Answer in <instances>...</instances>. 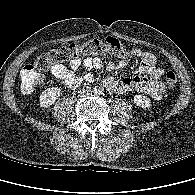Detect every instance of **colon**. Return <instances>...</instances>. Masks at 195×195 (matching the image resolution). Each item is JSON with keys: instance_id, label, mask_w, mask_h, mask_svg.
<instances>
[{"instance_id": "obj_1", "label": "colon", "mask_w": 195, "mask_h": 195, "mask_svg": "<svg viewBox=\"0 0 195 195\" xmlns=\"http://www.w3.org/2000/svg\"><path fill=\"white\" fill-rule=\"evenodd\" d=\"M110 53L123 59L133 57L132 50L126 48L121 42L113 37L92 39L82 44H71L38 56L33 63L25 65L20 72V85L25 93L32 92L43 83V76L39 71L48 70L54 65L73 59L79 55H101ZM166 83L170 88H175L177 77L174 72L165 73Z\"/></svg>"}]
</instances>
